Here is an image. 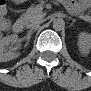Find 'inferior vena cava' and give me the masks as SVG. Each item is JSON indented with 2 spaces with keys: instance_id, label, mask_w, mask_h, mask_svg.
Here are the masks:
<instances>
[{
  "instance_id": "602c4592",
  "label": "inferior vena cava",
  "mask_w": 91,
  "mask_h": 91,
  "mask_svg": "<svg viewBox=\"0 0 91 91\" xmlns=\"http://www.w3.org/2000/svg\"><path fill=\"white\" fill-rule=\"evenodd\" d=\"M42 22H43V20L40 18V19H38V20H36V21H34V22L28 24L27 27H28V28H34V27H36L38 24H40V23H42Z\"/></svg>"
}]
</instances>
